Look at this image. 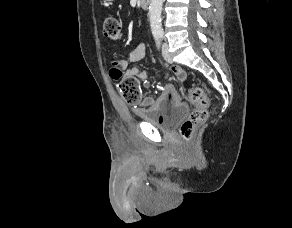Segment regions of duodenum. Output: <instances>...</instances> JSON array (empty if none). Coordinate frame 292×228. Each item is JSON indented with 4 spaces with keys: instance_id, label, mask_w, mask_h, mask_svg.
<instances>
[{
    "instance_id": "410a0bca",
    "label": "duodenum",
    "mask_w": 292,
    "mask_h": 228,
    "mask_svg": "<svg viewBox=\"0 0 292 228\" xmlns=\"http://www.w3.org/2000/svg\"><path fill=\"white\" fill-rule=\"evenodd\" d=\"M151 0H139V4L142 8H147L150 5Z\"/></svg>"
}]
</instances>
